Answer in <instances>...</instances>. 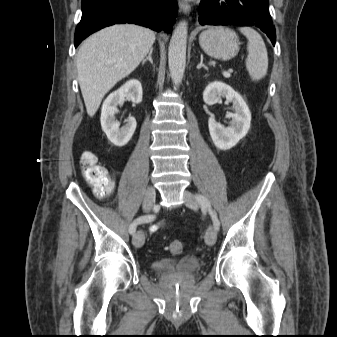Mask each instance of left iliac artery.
<instances>
[{"mask_svg": "<svg viewBox=\"0 0 337 337\" xmlns=\"http://www.w3.org/2000/svg\"><path fill=\"white\" fill-rule=\"evenodd\" d=\"M197 200L200 202V204H201L202 207H205V208L208 209V211H209V213H210V215L212 217L215 229L219 230L220 222H219V220L217 218L216 213L212 210L210 202L207 200V198H205L202 195H197Z\"/></svg>", "mask_w": 337, "mask_h": 337, "instance_id": "obj_1", "label": "left iliac artery"}]
</instances>
